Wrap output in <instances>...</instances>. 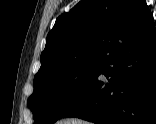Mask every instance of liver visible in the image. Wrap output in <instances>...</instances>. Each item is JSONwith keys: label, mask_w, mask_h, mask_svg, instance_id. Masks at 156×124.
Segmentation results:
<instances>
[{"label": "liver", "mask_w": 156, "mask_h": 124, "mask_svg": "<svg viewBox=\"0 0 156 124\" xmlns=\"http://www.w3.org/2000/svg\"><path fill=\"white\" fill-rule=\"evenodd\" d=\"M57 124H91V123L80 120V119L71 118V119L61 120V121L57 122Z\"/></svg>", "instance_id": "obj_1"}]
</instances>
